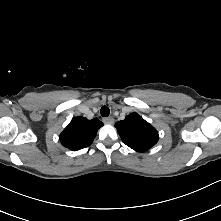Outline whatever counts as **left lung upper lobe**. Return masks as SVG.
I'll use <instances>...</instances> for the list:
<instances>
[{
  "label": "left lung upper lobe",
  "mask_w": 221,
  "mask_h": 221,
  "mask_svg": "<svg viewBox=\"0 0 221 221\" xmlns=\"http://www.w3.org/2000/svg\"><path fill=\"white\" fill-rule=\"evenodd\" d=\"M122 141L138 152L149 150L158 141L157 130L137 113H131L115 124Z\"/></svg>",
  "instance_id": "5c2ea615"
}]
</instances>
